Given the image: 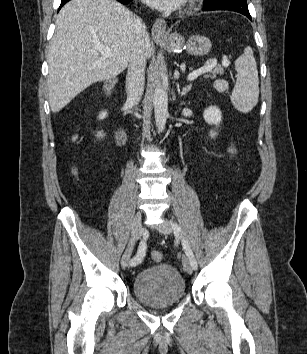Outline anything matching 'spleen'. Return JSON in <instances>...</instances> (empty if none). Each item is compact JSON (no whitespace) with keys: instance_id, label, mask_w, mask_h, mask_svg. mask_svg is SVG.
<instances>
[{"instance_id":"3e777b00","label":"spleen","mask_w":307,"mask_h":354,"mask_svg":"<svg viewBox=\"0 0 307 354\" xmlns=\"http://www.w3.org/2000/svg\"><path fill=\"white\" fill-rule=\"evenodd\" d=\"M237 80L232 91L231 102L234 107L242 112H250L258 103L259 97V78L253 50L246 47L243 54L235 61ZM226 81H216L215 88L218 91L228 89Z\"/></svg>"}]
</instances>
